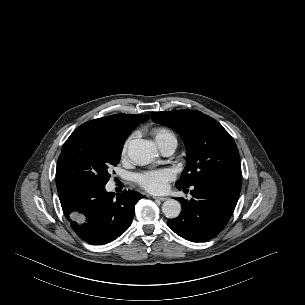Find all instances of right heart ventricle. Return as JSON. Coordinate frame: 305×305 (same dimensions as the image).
Segmentation results:
<instances>
[{
  "instance_id": "obj_1",
  "label": "right heart ventricle",
  "mask_w": 305,
  "mask_h": 305,
  "mask_svg": "<svg viewBox=\"0 0 305 305\" xmlns=\"http://www.w3.org/2000/svg\"><path fill=\"white\" fill-rule=\"evenodd\" d=\"M155 140L157 142V144L169 141V140H174L177 142L176 136L174 135L173 132H171L168 129L165 128H156L153 131Z\"/></svg>"
}]
</instances>
